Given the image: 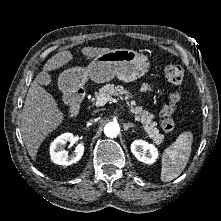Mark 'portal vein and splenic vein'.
Wrapping results in <instances>:
<instances>
[{
    "label": "portal vein and splenic vein",
    "mask_w": 221,
    "mask_h": 221,
    "mask_svg": "<svg viewBox=\"0 0 221 221\" xmlns=\"http://www.w3.org/2000/svg\"><path fill=\"white\" fill-rule=\"evenodd\" d=\"M108 101H112L114 103H118V101L114 98H111V97H101V98H98L96 101H95V105L96 106H104Z\"/></svg>",
    "instance_id": "obj_1"
}]
</instances>
